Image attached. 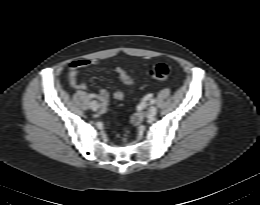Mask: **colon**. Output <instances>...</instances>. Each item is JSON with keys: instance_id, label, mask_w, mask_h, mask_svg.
Wrapping results in <instances>:
<instances>
[{"instance_id": "5ec220e1", "label": "colon", "mask_w": 260, "mask_h": 205, "mask_svg": "<svg viewBox=\"0 0 260 205\" xmlns=\"http://www.w3.org/2000/svg\"><path fill=\"white\" fill-rule=\"evenodd\" d=\"M170 72L168 65L159 63L150 69L149 74L154 79L164 81L169 78Z\"/></svg>"}]
</instances>
